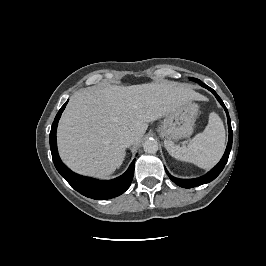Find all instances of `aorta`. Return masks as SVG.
Here are the masks:
<instances>
[{
	"instance_id": "762f6f07",
	"label": "aorta",
	"mask_w": 266,
	"mask_h": 266,
	"mask_svg": "<svg viewBox=\"0 0 266 266\" xmlns=\"http://www.w3.org/2000/svg\"><path fill=\"white\" fill-rule=\"evenodd\" d=\"M143 149L148 154H154L158 151V143L154 139H148L144 142Z\"/></svg>"
}]
</instances>
